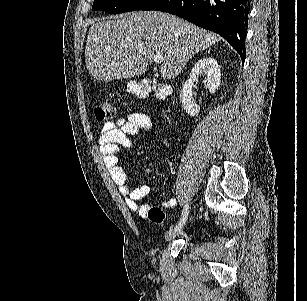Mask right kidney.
Segmentation results:
<instances>
[{
  "mask_svg": "<svg viewBox=\"0 0 307 301\" xmlns=\"http://www.w3.org/2000/svg\"><path fill=\"white\" fill-rule=\"evenodd\" d=\"M200 74L205 76L203 80L205 88H208L209 92H216L217 88L220 86L221 82V70L220 66L212 56H206V58H201L196 64H194L187 80H185L181 90H180V100L182 106L190 116H196L200 112L199 104H194L192 100V88L196 86L195 82H198Z\"/></svg>",
  "mask_w": 307,
  "mask_h": 301,
  "instance_id": "right-kidney-1",
  "label": "right kidney"
}]
</instances>
